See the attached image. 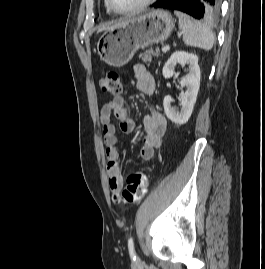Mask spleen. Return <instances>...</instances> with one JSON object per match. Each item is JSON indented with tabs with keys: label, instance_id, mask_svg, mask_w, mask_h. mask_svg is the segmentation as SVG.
<instances>
[{
	"label": "spleen",
	"instance_id": "1",
	"mask_svg": "<svg viewBox=\"0 0 265 269\" xmlns=\"http://www.w3.org/2000/svg\"><path fill=\"white\" fill-rule=\"evenodd\" d=\"M179 19V29L183 33V41L187 46L198 47L209 51L214 45V34L204 23L197 21L186 13L175 10Z\"/></svg>",
	"mask_w": 265,
	"mask_h": 269
}]
</instances>
